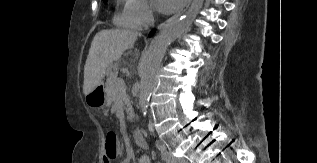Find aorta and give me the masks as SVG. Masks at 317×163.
Wrapping results in <instances>:
<instances>
[{
	"mask_svg": "<svg viewBox=\"0 0 317 163\" xmlns=\"http://www.w3.org/2000/svg\"><path fill=\"white\" fill-rule=\"evenodd\" d=\"M203 3L204 0H192L186 13L167 23L151 41L139 68V107L144 115L147 112L150 96L156 84L157 72L166 49L191 26L193 20L202 8Z\"/></svg>",
	"mask_w": 317,
	"mask_h": 163,
	"instance_id": "obj_1",
	"label": "aorta"
}]
</instances>
